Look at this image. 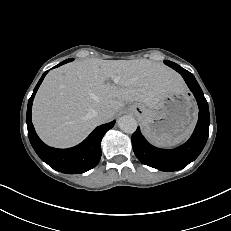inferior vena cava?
Masks as SVG:
<instances>
[{"label":"inferior vena cava","instance_id":"obj_1","mask_svg":"<svg viewBox=\"0 0 231 231\" xmlns=\"http://www.w3.org/2000/svg\"><path fill=\"white\" fill-rule=\"evenodd\" d=\"M98 118L100 119L101 123H105L111 118V115L107 110H102L98 113Z\"/></svg>","mask_w":231,"mask_h":231}]
</instances>
